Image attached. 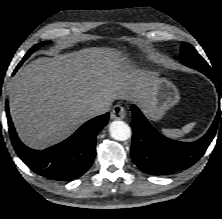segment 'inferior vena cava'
<instances>
[{
  "label": "inferior vena cava",
  "mask_w": 222,
  "mask_h": 219,
  "mask_svg": "<svg viewBox=\"0 0 222 219\" xmlns=\"http://www.w3.org/2000/svg\"><path fill=\"white\" fill-rule=\"evenodd\" d=\"M110 110V104H97L90 109V114L94 116L102 115Z\"/></svg>",
  "instance_id": "inferior-vena-cava-1"
}]
</instances>
